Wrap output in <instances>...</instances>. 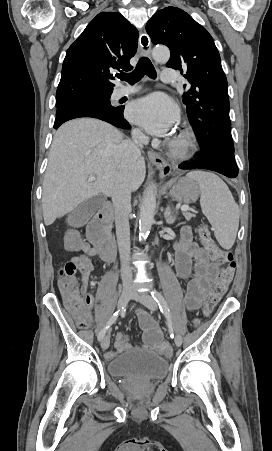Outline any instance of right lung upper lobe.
Listing matches in <instances>:
<instances>
[{
	"label": "right lung upper lobe",
	"instance_id": "obj_1",
	"mask_svg": "<svg viewBox=\"0 0 272 451\" xmlns=\"http://www.w3.org/2000/svg\"><path fill=\"white\" fill-rule=\"evenodd\" d=\"M138 36L120 13H99L67 50L56 99L111 93L110 72L132 69Z\"/></svg>",
	"mask_w": 272,
	"mask_h": 451
}]
</instances>
